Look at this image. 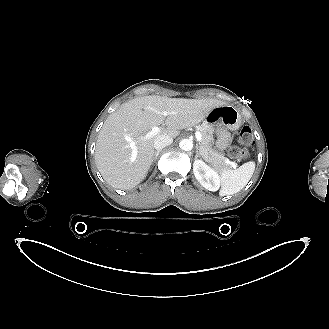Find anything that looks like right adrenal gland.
<instances>
[{
    "instance_id": "obj_1",
    "label": "right adrenal gland",
    "mask_w": 329,
    "mask_h": 329,
    "mask_svg": "<svg viewBox=\"0 0 329 329\" xmlns=\"http://www.w3.org/2000/svg\"><path fill=\"white\" fill-rule=\"evenodd\" d=\"M160 152H161V150H157V151L155 152V156H154V158H153V161H154V162H156V159H157V157H158V155H159Z\"/></svg>"
}]
</instances>
